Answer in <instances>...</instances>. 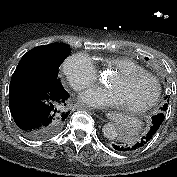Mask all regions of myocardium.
<instances>
[{"label": "myocardium", "mask_w": 177, "mask_h": 177, "mask_svg": "<svg viewBox=\"0 0 177 177\" xmlns=\"http://www.w3.org/2000/svg\"><path fill=\"white\" fill-rule=\"evenodd\" d=\"M117 75L123 79L147 78L153 83L154 86L153 92L147 100L137 105H123V109L132 112H141L150 108L157 102L161 93V84L159 79L155 75L147 71L118 72Z\"/></svg>", "instance_id": "1"}]
</instances>
